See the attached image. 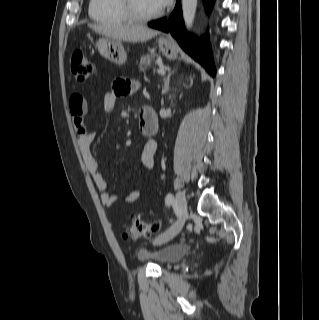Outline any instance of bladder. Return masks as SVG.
<instances>
[{
    "label": "bladder",
    "mask_w": 319,
    "mask_h": 320,
    "mask_svg": "<svg viewBox=\"0 0 319 320\" xmlns=\"http://www.w3.org/2000/svg\"><path fill=\"white\" fill-rule=\"evenodd\" d=\"M186 252V246L181 244L148 243L137 250L136 256L139 261H152L159 266H166L180 260Z\"/></svg>",
    "instance_id": "obj_1"
}]
</instances>
